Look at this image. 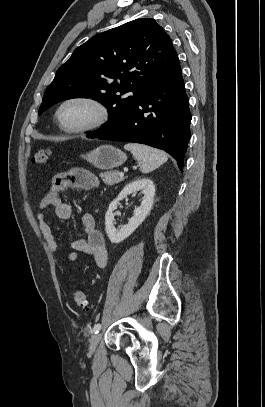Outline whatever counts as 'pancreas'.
Listing matches in <instances>:
<instances>
[{
	"mask_svg": "<svg viewBox=\"0 0 265 407\" xmlns=\"http://www.w3.org/2000/svg\"><path fill=\"white\" fill-rule=\"evenodd\" d=\"M100 177L105 184L110 185V186L114 185V184H118L124 180L123 177H119V173L117 171H108L104 174L101 173Z\"/></svg>",
	"mask_w": 265,
	"mask_h": 407,
	"instance_id": "pancreas-1",
	"label": "pancreas"
}]
</instances>
